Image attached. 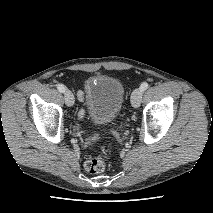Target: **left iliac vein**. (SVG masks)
<instances>
[{
	"instance_id": "4c4485c4",
	"label": "left iliac vein",
	"mask_w": 213,
	"mask_h": 213,
	"mask_svg": "<svg viewBox=\"0 0 213 213\" xmlns=\"http://www.w3.org/2000/svg\"><path fill=\"white\" fill-rule=\"evenodd\" d=\"M142 100V90L137 88L132 92L131 95V104L134 108H138Z\"/></svg>"
}]
</instances>
